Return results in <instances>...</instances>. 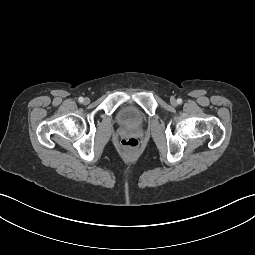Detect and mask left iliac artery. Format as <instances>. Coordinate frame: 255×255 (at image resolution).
Segmentation results:
<instances>
[{
    "mask_svg": "<svg viewBox=\"0 0 255 255\" xmlns=\"http://www.w3.org/2000/svg\"><path fill=\"white\" fill-rule=\"evenodd\" d=\"M177 103H178V104H181V103H182V99H180V98L177 99Z\"/></svg>",
    "mask_w": 255,
    "mask_h": 255,
    "instance_id": "left-iliac-artery-1",
    "label": "left iliac artery"
}]
</instances>
